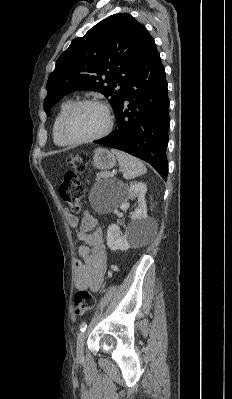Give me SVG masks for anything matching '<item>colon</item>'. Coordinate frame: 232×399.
I'll return each instance as SVG.
<instances>
[{
    "instance_id": "5ec220e1",
    "label": "colon",
    "mask_w": 232,
    "mask_h": 399,
    "mask_svg": "<svg viewBox=\"0 0 232 399\" xmlns=\"http://www.w3.org/2000/svg\"><path fill=\"white\" fill-rule=\"evenodd\" d=\"M66 166L72 168V172H85V168L88 167L86 161V153L73 154L69 153L66 157ZM76 180H78V175H62V185L58 189V194H70L71 196H77V198H62V203H84V198H82V185H76ZM71 212H76V207H71ZM78 293L81 296H73V301H81V303H76V311L84 312V316H90L92 312V317H97V306L98 294H93V300H91V294H89L88 289H79Z\"/></svg>"
}]
</instances>
